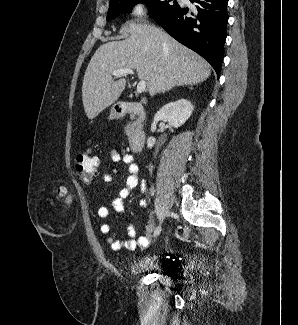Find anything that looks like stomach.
<instances>
[{
    "mask_svg": "<svg viewBox=\"0 0 298 325\" xmlns=\"http://www.w3.org/2000/svg\"><path fill=\"white\" fill-rule=\"evenodd\" d=\"M109 118H111V120L112 118H118V114L115 112L114 108H112Z\"/></svg>",
    "mask_w": 298,
    "mask_h": 325,
    "instance_id": "obj_1",
    "label": "stomach"
}]
</instances>
